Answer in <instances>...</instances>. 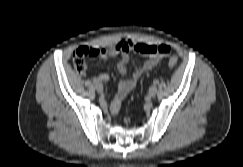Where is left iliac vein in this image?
Listing matches in <instances>:
<instances>
[{
	"instance_id": "obj_1",
	"label": "left iliac vein",
	"mask_w": 243,
	"mask_h": 167,
	"mask_svg": "<svg viewBox=\"0 0 243 167\" xmlns=\"http://www.w3.org/2000/svg\"><path fill=\"white\" fill-rule=\"evenodd\" d=\"M156 94H157V87H156L155 85H152V86L149 88L148 95H149L150 97H154Z\"/></svg>"
}]
</instances>
